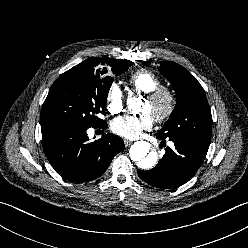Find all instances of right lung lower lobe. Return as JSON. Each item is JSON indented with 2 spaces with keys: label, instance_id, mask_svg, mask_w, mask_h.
I'll use <instances>...</instances> for the list:
<instances>
[{
  "label": "right lung lower lobe",
  "instance_id": "98d812e1",
  "mask_svg": "<svg viewBox=\"0 0 248 248\" xmlns=\"http://www.w3.org/2000/svg\"><path fill=\"white\" fill-rule=\"evenodd\" d=\"M106 128V122L97 126L48 124L41 126L42 145L54 170L73 182H88L100 177L114 156L124 150L122 138L103 134L101 139L89 141L87 129Z\"/></svg>",
  "mask_w": 248,
  "mask_h": 248
}]
</instances>
